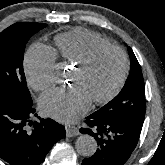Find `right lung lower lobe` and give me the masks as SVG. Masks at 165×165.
<instances>
[{
  "mask_svg": "<svg viewBox=\"0 0 165 165\" xmlns=\"http://www.w3.org/2000/svg\"><path fill=\"white\" fill-rule=\"evenodd\" d=\"M35 111L32 103L0 97V158L10 165H40L65 137L64 126L50 118L32 123Z\"/></svg>",
  "mask_w": 165,
  "mask_h": 165,
  "instance_id": "right-lung-lower-lobe-1",
  "label": "right lung lower lobe"
}]
</instances>
